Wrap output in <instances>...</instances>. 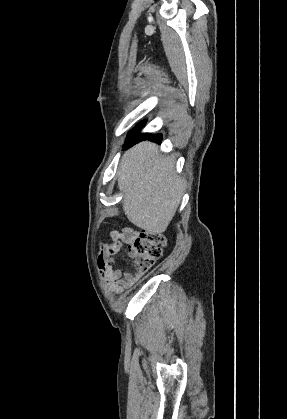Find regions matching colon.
I'll return each mask as SVG.
<instances>
[{"instance_id": "colon-1", "label": "colon", "mask_w": 287, "mask_h": 419, "mask_svg": "<svg viewBox=\"0 0 287 419\" xmlns=\"http://www.w3.org/2000/svg\"><path fill=\"white\" fill-rule=\"evenodd\" d=\"M164 239L159 234L141 231L131 240L133 265L137 273L147 271L161 256Z\"/></svg>"}]
</instances>
